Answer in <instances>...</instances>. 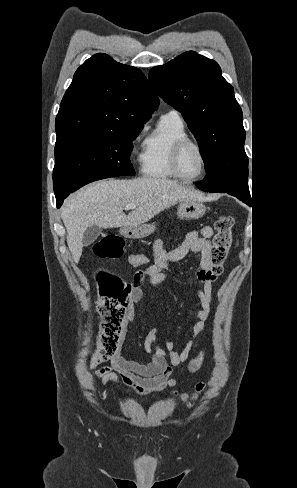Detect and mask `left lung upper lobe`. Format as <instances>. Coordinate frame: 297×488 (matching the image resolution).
Segmentation results:
<instances>
[{
	"mask_svg": "<svg viewBox=\"0 0 297 488\" xmlns=\"http://www.w3.org/2000/svg\"><path fill=\"white\" fill-rule=\"evenodd\" d=\"M149 80L198 141L207 173L198 188L251 198L242 110L219 65L189 51L152 68Z\"/></svg>",
	"mask_w": 297,
	"mask_h": 488,
	"instance_id": "5c2ea615",
	"label": "left lung upper lobe"
}]
</instances>
